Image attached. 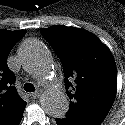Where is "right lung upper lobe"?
<instances>
[{
  "instance_id": "right-lung-upper-lobe-1",
  "label": "right lung upper lobe",
  "mask_w": 125,
  "mask_h": 125,
  "mask_svg": "<svg viewBox=\"0 0 125 125\" xmlns=\"http://www.w3.org/2000/svg\"><path fill=\"white\" fill-rule=\"evenodd\" d=\"M26 32V30L0 29V121L26 105V102L19 97L13 86L15 75L7 65L9 53Z\"/></svg>"
}]
</instances>
